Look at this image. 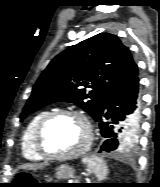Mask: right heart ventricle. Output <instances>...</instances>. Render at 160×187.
<instances>
[{
    "mask_svg": "<svg viewBox=\"0 0 160 187\" xmlns=\"http://www.w3.org/2000/svg\"><path fill=\"white\" fill-rule=\"evenodd\" d=\"M50 113L45 109L37 112L26 125L21 138V151L23 156L31 161H39L44 157L39 154L35 146V132L41 120Z\"/></svg>",
    "mask_w": 160,
    "mask_h": 187,
    "instance_id": "e07e8e85",
    "label": "right heart ventricle"
}]
</instances>
